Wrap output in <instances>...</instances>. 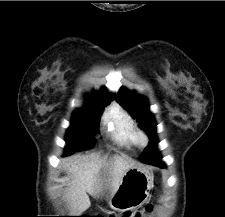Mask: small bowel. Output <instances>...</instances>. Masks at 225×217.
<instances>
[{"mask_svg": "<svg viewBox=\"0 0 225 217\" xmlns=\"http://www.w3.org/2000/svg\"><path fill=\"white\" fill-rule=\"evenodd\" d=\"M145 198H146L145 192L140 189L128 190L124 192L119 198L118 208L121 212H123L124 217H132V216L139 217L140 216L139 213H135L134 215H132L130 211L132 208L142 205L144 203ZM144 208L146 211L150 210V206L147 204L144 205Z\"/></svg>", "mask_w": 225, "mask_h": 217, "instance_id": "small-bowel-1", "label": "small bowel"}]
</instances>
